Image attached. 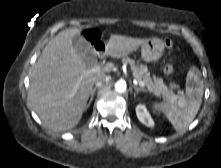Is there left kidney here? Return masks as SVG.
<instances>
[{"label":"left kidney","mask_w":221,"mask_h":168,"mask_svg":"<svg viewBox=\"0 0 221 168\" xmlns=\"http://www.w3.org/2000/svg\"><path fill=\"white\" fill-rule=\"evenodd\" d=\"M136 115L141 123L148 127L154 126V121L151 118L149 112L147 111L145 105L139 104L136 107Z\"/></svg>","instance_id":"5707ae66"}]
</instances>
